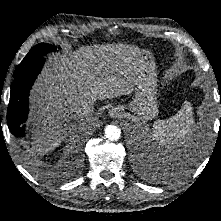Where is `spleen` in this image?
<instances>
[{
	"mask_svg": "<svg viewBox=\"0 0 221 221\" xmlns=\"http://www.w3.org/2000/svg\"><path fill=\"white\" fill-rule=\"evenodd\" d=\"M197 129L190 102L167 120H157L153 124L152 136L164 153H178Z\"/></svg>",
	"mask_w": 221,
	"mask_h": 221,
	"instance_id": "3e777b00",
	"label": "spleen"
}]
</instances>
